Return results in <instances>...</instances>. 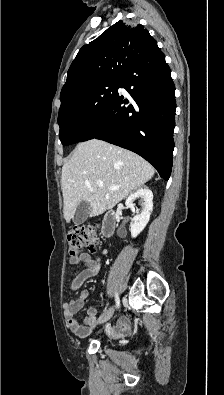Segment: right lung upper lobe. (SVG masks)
Masks as SVG:
<instances>
[{"mask_svg":"<svg viewBox=\"0 0 224 395\" xmlns=\"http://www.w3.org/2000/svg\"><path fill=\"white\" fill-rule=\"evenodd\" d=\"M154 44L156 41L142 25L132 27L118 21L80 49L68 70L60 100L93 84L122 78Z\"/></svg>","mask_w":224,"mask_h":395,"instance_id":"cb5924a9","label":"right lung upper lobe"}]
</instances>
